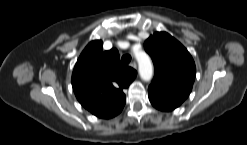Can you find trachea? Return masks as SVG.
I'll return each instance as SVG.
<instances>
[{
  "instance_id": "trachea-1",
  "label": "trachea",
  "mask_w": 247,
  "mask_h": 145,
  "mask_svg": "<svg viewBox=\"0 0 247 145\" xmlns=\"http://www.w3.org/2000/svg\"><path fill=\"white\" fill-rule=\"evenodd\" d=\"M130 61H131V56L128 55V54L122 56V58H121V62H122L123 64H125V65H126V64H129Z\"/></svg>"
}]
</instances>
